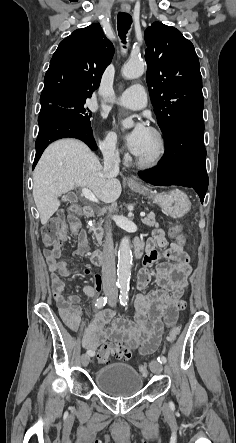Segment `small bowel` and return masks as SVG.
Returning <instances> with one entry per match:
<instances>
[{
	"mask_svg": "<svg viewBox=\"0 0 236 443\" xmlns=\"http://www.w3.org/2000/svg\"><path fill=\"white\" fill-rule=\"evenodd\" d=\"M75 234L78 236V248L73 252V256L82 258L88 252L87 236L83 231ZM61 239L67 241V236L64 234ZM135 245L146 250L144 267L137 274L139 291L144 290L150 283L153 274L149 266L154 261L164 257L172 262H163L157 266L156 278L160 285L159 289L148 294L140 292L136 295L133 322L115 318L111 310L98 311L94 314L82 336L84 347L90 351L95 352L101 342L112 340L124 342L132 349H139L142 354L153 353L158 347L164 328L172 327L177 321L178 311L185 307L183 297L192 267L182 245L176 242L168 244L162 229L154 230L151 239L146 242L136 241ZM156 246L161 251H157ZM60 254L61 249L59 253L54 249L45 252L53 296L66 325L73 332H78L82 314L81 297L65 295L66 284L63 280V277L75 275L77 272L66 261L59 259ZM83 273L94 280L92 286H85L83 290L88 297L95 298L102 290L101 277L88 268L83 269Z\"/></svg>",
	"mask_w": 236,
	"mask_h": 443,
	"instance_id": "c3829d8e",
	"label": "small bowel"
}]
</instances>
